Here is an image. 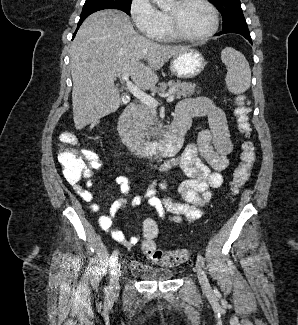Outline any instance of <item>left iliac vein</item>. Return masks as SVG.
<instances>
[{
  "mask_svg": "<svg viewBox=\"0 0 298 325\" xmlns=\"http://www.w3.org/2000/svg\"><path fill=\"white\" fill-rule=\"evenodd\" d=\"M195 270L197 272L198 280H199V283H200L202 289L207 292L210 291L211 286L209 284V281L207 279L205 272L203 271V269L201 268L199 263H197L195 265Z\"/></svg>",
  "mask_w": 298,
  "mask_h": 325,
  "instance_id": "left-iliac-vein-1",
  "label": "left iliac vein"
}]
</instances>
